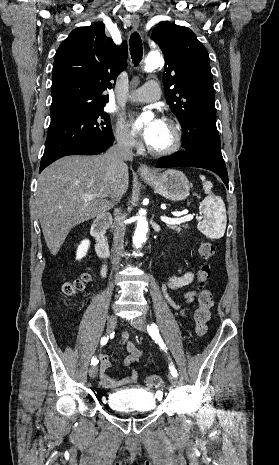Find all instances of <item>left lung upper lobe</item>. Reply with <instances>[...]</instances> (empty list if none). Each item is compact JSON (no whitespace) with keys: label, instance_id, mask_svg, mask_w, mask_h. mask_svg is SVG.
Segmentation results:
<instances>
[{"label":"left lung upper lobe","instance_id":"1","mask_svg":"<svg viewBox=\"0 0 279 465\" xmlns=\"http://www.w3.org/2000/svg\"><path fill=\"white\" fill-rule=\"evenodd\" d=\"M151 38L165 56V97L182 125L183 148L225 163L216 127L215 91L206 48L191 29L169 22L157 24Z\"/></svg>","mask_w":279,"mask_h":465}]
</instances>
